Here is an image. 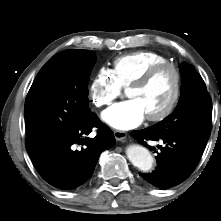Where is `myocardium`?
<instances>
[{
  "label": "myocardium",
  "instance_id": "f54148a6",
  "mask_svg": "<svg viewBox=\"0 0 221 221\" xmlns=\"http://www.w3.org/2000/svg\"><path fill=\"white\" fill-rule=\"evenodd\" d=\"M164 69H170L174 73V91L168 105L161 112L146 116L147 120L152 122H159L166 119L176 108L182 92V74L180 68L169 61L155 64L128 86V89L146 87Z\"/></svg>",
  "mask_w": 221,
  "mask_h": 221
}]
</instances>
